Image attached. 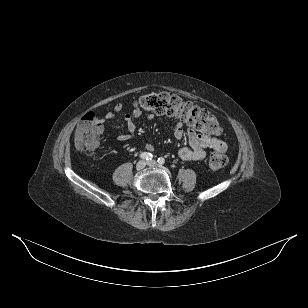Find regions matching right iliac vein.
Listing matches in <instances>:
<instances>
[{
	"instance_id": "63e3f726",
	"label": "right iliac vein",
	"mask_w": 308,
	"mask_h": 308,
	"mask_svg": "<svg viewBox=\"0 0 308 308\" xmlns=\"http://www.w3.org/2000/svg\"><path fill=\"white\" fill-rule=\"evenodd\" d=\"M147 162H145L144 160H140L137 164H136V168L137 170H142L146 167Z\"/></svg>"
}]
</instances>
